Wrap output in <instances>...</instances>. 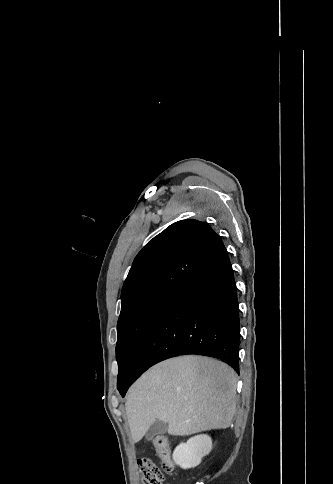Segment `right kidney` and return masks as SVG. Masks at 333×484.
Segmentation results:
<instances>
[{
    "label": "right kidney",
    "instance_id": "ca27d5eb",
    "mask_svg": "<svg viewBox=\"0 0 333 484\" xmlns=\"http://www.w3.org/2000/svg\"><path fill=\"white\" fill-rule=\"evenodd\" d=\"M212 449V440L208 435H197L186 443H181L173 452V460L181 468L197 467L204 456Z\"/></svg>",
    "mask_w": 333,
    "mask_h": 484
}]
</instances>
